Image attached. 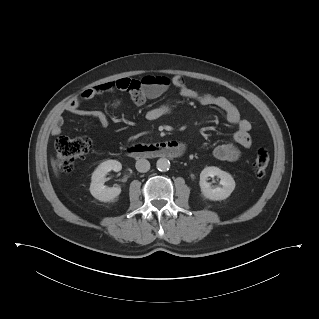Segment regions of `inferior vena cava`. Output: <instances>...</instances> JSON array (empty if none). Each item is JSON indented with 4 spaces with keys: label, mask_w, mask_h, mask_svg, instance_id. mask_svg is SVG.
I'll return each instance as SVG.
<instances>
[{
    "label": "inferior vena cava",
    "mask_w": 319,
    "mask_h": 319,
    "mask_svg": "<svg viewBox=\"0 0 319 319\" xmlns=\"http://www.w3.org/2000/svg\"><path fill=\"white\" fill-rule=\"evenodd\" d=\"M135 167H136L137 171L144 173L150 169V163L146 159H139L136 161Z\"/></svg>",
    "instance_id": "obj_1"
}]
</instances>
